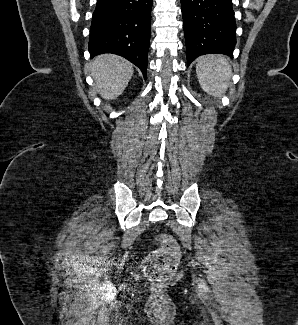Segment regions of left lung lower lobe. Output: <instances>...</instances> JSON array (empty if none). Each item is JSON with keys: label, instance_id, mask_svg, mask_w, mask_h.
I'll return each instance as SVG.
<instances>
[{"label": "left lung lower lobe", "instance_id": "obj_1", "mask_svg": "<svg viewBox=\"0 0 298 325\" xmlns=\"http://www.w3.org/2000/svg\"><path fill=\"white\" fill-rule=\"evenodd\" d=\"M187 65L209 53L233 57L236 23L231 0H181Z\"/></svg>", "mask_w": 298, "mask_h": 325}]
</instances>
